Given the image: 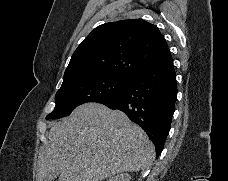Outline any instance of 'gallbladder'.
I'll use <instances>...</instances> for the list:
<instances>
[{"label": "gallbladder", "mask_w": 228, "mask_h": 181, "mask_svg": "<svg viewBox=\"0 0 228 181\" xmlns=\"http://www.w3.org/2000/svg\"><path fill=\"white\" fill-rule=\"evenodd\" d=\"M57 175L56 173H51V175H49V177H46V179H44V181H54V179H56Z\"/></svg>", "instance_id": "bac80fb5"}]
</instances>
